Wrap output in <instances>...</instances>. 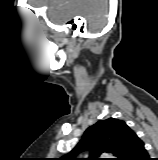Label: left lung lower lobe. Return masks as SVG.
Wrapping results in <instances>:
<instances>
[{
	"label": "left lung lower lobe",
	"mask_w": 158,
	"mask_h": 160,
	"mask_svg": "<svg viewBox=\"0 0 158 160\" xmlns=\"http://www.w3.org/2000/svg\"><path fill=\"white\" fill-rule=\"evenodd\" d=\"M123 160H150L143 141L135 133Z\"/></svg>",
	"instance_id": "obj_1"
}]
</instances>
